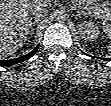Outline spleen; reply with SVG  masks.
Instances as JSON below:
<instances>
[{
    "label": "spleen",
    "instance_id": "1",
    "mask_svg": "<svg viewBox=\"0 0 111 106\" xmlns=\"http://www.w3.org/2000/svg\"><path fill=\"white\" fill-rule=\"evenodd\" d=\"M103 31L108 35L109 39H111V19L104 21L103 23ZM108 52H111V42L108 44Z\"/></svg>",
    "mask_w": 111,
    "mask_h": 106
}]
</instances>
